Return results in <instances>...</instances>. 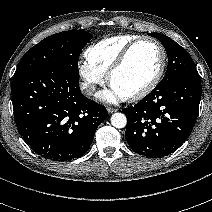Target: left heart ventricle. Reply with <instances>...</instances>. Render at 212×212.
Returning a JSON list of instances; mask_svg holds the SVG:
<instances>
[{
  "instance_id": "obj_1",
  "label": "left heart ventricle",
  "mask_w": 212,
  "mask_h": 212,
  "mask_svg": "<svg viewBox=\"0 0 212 212\" xmlns=\"http://www.w3.org/2000/svg\"><path fill=\"white\" fill-rule=\"evenodd\" d=\"M161 55L151 43H141L134 48L124 67L113 77L111 86L126 97L145 87L157 73Z\"/></svg>"
}]
</instances>
